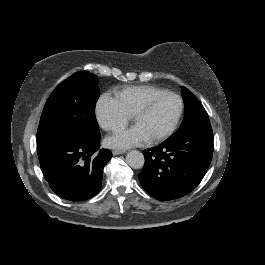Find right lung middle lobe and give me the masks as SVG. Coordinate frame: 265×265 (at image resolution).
Here are the masks:
<instances>
[{
  "label": "right lung middle lobe",
  "mask_w": 265,
  "mask_h": 265,
  "mask_svg": "<svg viewBox=\"0 0 265 265\" xmlns=\"http://www.w3.org/2000/svg\"><path fill=\"white\" fill-rule=\"evenodd\" d=\"M96 75L79 71L60 83L45 103L37 144L49 137L77 135L100 138L95 117L99 98Z\"/></svg>",
  "instance_id": "1"
}]
</instances>
